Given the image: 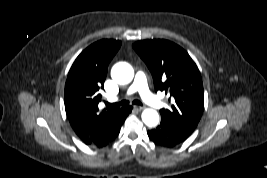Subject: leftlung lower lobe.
I'll return each mask as SVG.
<instances>
[{
  "label": "left lung lower lobe",
  "mask_w": 267,
  "mask_h": 178,
  "mask_svg": "<svg viewBox=\"0 0 267 178\" xmlns=\"http://www.w3.org/2000/svg\"><path fill=\"white\" fill-rule=\"evenodd\" d=\"M148 136L155 144L163 147H174L188 138L182 135L169 122L164 121H161L157 128L149 130Z\"/></svg>",
  "instance_id": "0a47b994"
}]
</instances>
